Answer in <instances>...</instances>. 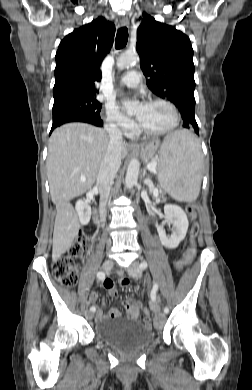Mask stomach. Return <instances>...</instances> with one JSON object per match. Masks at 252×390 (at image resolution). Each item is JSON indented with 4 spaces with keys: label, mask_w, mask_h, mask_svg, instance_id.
Wrapping results in <instances>:
<instances>
[{
    "label": "stomach",
    "mask_w": 252,
    "mask_h": 390,
    "mask_svg": "<svg viewBox=\"0 0 252 390\" xmlns=\"http://www.w3.org/2000/svg\"><path fill=\"white\" fill-rule=\"evenodd\" d=\"M158 147H159L158 142H152L146 146H142L140 148V155H141L142 159L145 162H148L151 158H153L156 151L158 150ZM160 153H161V149H160Z\"/></svg>",
    "instance_id": "obj_1"
}]
</instances>
